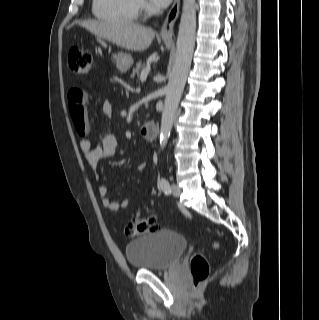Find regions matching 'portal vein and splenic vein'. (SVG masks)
<instances>
[{
  "label": "portal vein and splenic vein",
  "mask_w": 319,
  "mask_h": 320,
  "mask_svg": "<svg viewBox=\"0 0 319 320\" xmlns=\"http://www.w3.org/2000/svg\"><path fill=\"white\" fill-rule=\"evenodd\" d=\"M151 68L150 67H146L142 70L141 75H140V79L142 82L146 81L147 76L150 72Z\"/></svg>",
  "instance_id": "portal-vein-and-splenic-vein-1"
}]
</instances>
